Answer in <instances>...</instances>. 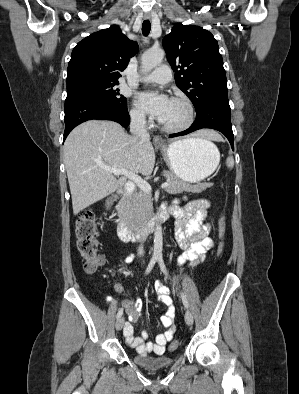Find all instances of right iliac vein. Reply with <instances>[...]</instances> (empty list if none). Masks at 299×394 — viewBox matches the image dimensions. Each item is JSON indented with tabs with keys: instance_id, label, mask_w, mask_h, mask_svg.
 <instances>
[{
	"instance_id": "obj_1",
	"label": "right iliac vein",
	"mask_w": 299,
	"mask_h": 394,
	"mask_svg": "<svg viewBox=\"0 0 299 394\" xmlns=\"http://www.w3.org/2000/svg\"><path fill=\"white\" fill-rule=\"evenodd\" d=\"M123 326H124V318L120 317L116 322V330L120 331L123 328Z\"/></svg>"
}]
</instances>
